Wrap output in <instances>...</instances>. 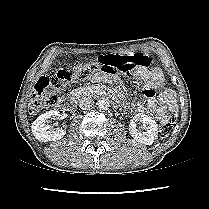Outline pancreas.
Masks as SVG:
<instances>
[{"label": "pancreas", "instance_id": "1", "mask_svg": "<svg viewBox=\"0 0 209 209\" xmlns=\"http://www.w3.org/2000/svg\"><path fill=\"white\" fill-rule=\"evenodd\" d=\"M74 92L78 97H81V96H87V95H96L100 91L96 89V87L93 85L92 86L87 85V86H83V87H79L75 89Z\"/></svg>", "mask_w": 209, "mask_h": 209}]
</instances>
